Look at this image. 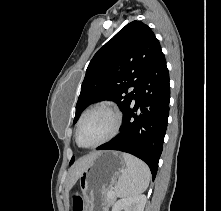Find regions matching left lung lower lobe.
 I'll use <instances>...</instances> for the list:
<instances>
[{
  "instance_id": "obj_1",
  "label": "left lung lower lobe",
  "mask_w": 221,
  "mask_h": 211,
  "mask_svg": "<svg viewBox=\"0 0 221 211\" xmlns=\"http://www.w3.org/2000/svg\"><path fill=\"white\" fill-rule=\"evenodd\" d=\"M169 102V73L160 51L124 113L120 134L97 150H119L140 158L149 166L154 180L167 129Z\"/></svg>"
}]
</instances>
